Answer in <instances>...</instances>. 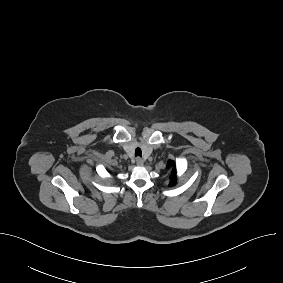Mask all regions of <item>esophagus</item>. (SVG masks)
I'll return each mask as SVG.
<instances>
[{
	"mask_svg": "<svg viewBox=\"0 0 283 283\" xmlns=\"http://www.w3.org/2000/svg\"><path fill=\"white\" fill-rule=\"evenodd\" d=\"M143 164H144L143 160L140 157H137L136 158V165L137 166H143Z\"/></svg>",
	"mask_w": 283,
	"mask_h": 283,
	"instance_id": "esophagus-1",
	"label": "esophagus"
}]
</instances>
